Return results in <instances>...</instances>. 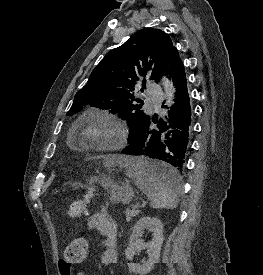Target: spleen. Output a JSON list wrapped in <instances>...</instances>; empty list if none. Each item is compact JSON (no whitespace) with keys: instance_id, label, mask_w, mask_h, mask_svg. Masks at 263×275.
Wrapping results in <instances>:
<instances>
[{"instance_id":"spleen-1","label":"spleen","mask_w":263,"mask_h":275,"mask_svg":"<svg viewBox=\"0 0 263 275\" xmlns=\"http://www.w3.org/2000/svg\"><path fill=\"white\" fill-rule=\"evenodd\" d=\"M125 174L148 197L152 208H176L179 202L180 182H164L152 174L153 163L144 157H123Z\"/></svg>"}]
</instances>
